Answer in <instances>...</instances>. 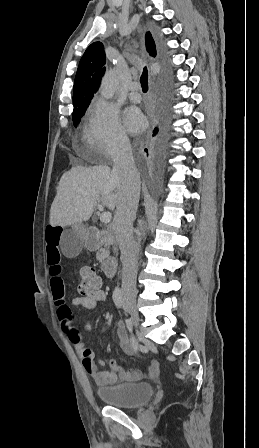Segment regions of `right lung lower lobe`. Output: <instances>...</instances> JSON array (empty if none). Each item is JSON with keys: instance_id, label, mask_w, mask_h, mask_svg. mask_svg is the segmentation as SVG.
Listing matches in <instances>:
<instances>
[{"instance_id": "right-lung-lower-lobe-1", "label": "right lung lower lobe", "mask_w": 259, "mask_h": 448, "mask_svg": "<svg viewBox=\"0 0 259 448\" xmlns=\"http://www.w3.org/2000/svg\"><path fill=\"white\" fill-rule=\"evenodd\" d=\"M158 133V128H155L153 131V136H155ZM145 151H147V149H145Z\"/></svg>"}]
</instances>
